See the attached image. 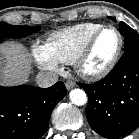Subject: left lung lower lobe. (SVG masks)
<instances>
[{"label": "left lung lower lobe", "instance_id": "0a47b994", "mask_svg": "<svg viewBox=\"0 0 139 139\" xmlns=\"http://www.w3.org/2000/svg\"><path fill=\"white\" fill-rule=\"evenodd\" d=\"M78 85L88 95L86 116L95 132L116 139L139 126V47L125 51L103 80Z\"/></svg>", "mask_w": 139, "mask_h": 139}]
</instances>
